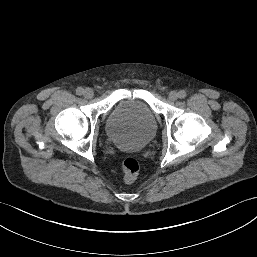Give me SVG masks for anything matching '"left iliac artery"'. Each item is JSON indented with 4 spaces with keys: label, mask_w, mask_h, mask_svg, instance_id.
<instances>
[{
    "label": "left iliac artery",
    "mask_w": 257,
    "mask_h": 257,
    "mask_svg": "<svg viewBox=\"0 0 257 257\" xmlns=\"http://www.w3.org/2000/svg\"><path fill=\"white\" fill-rule=\"evenodd\" d=\"M186 92L184 90H181L179 93H178V97L180 99H184L186 97Z\"/></svg>",
    "instance_id": "left-iliac-artery-1"
}]
</instances>
